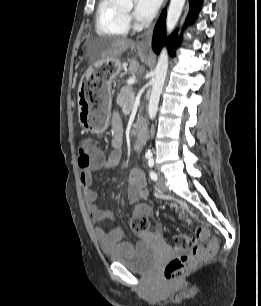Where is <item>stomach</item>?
Segmentation results:
<instances>
[{"label":"stomach","mask_w":261,"mask_h":306,"mask_svg":"<svg viewBox=\"0 0 261 306\" xmlns=\"http://www.w3.org/2000/svg\"><path fill=\"white\" fill-rule=\"evenodd\" d=\"M98 64L102 70L100 76L94 83L87 84L84 80L78 91L79 122L82 128L92 133H102L108 127L112 106L111 80L121 69L117 57L101 60Z\"/></svg>","instance_id":"stomach-1"}]
</instances>
